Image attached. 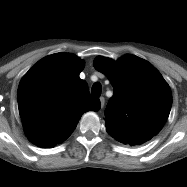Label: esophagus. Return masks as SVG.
Listing matches in <instances>:
<instances>
[{
    "label": "esophagus",
    "mask_w": 187,
    "mask_h": 187,
    "mask_svg": "<svg viewBox=\"0 0 187 187\" xmlns=\"http://www.w3.org/2000/svg\"><path fill=\"white\" fill-rule=\"evenodd\" d=\"M104 104H105V99H104V97H100V105H101V108L104 107Z\"/></svg>",
    "instance_id": "1"
}]
</instances>
